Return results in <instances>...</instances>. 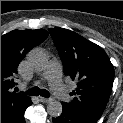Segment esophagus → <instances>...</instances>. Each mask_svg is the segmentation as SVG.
Wrapping results in <instances>:
<instances>
[{
  "label": "esophagus",
  "instance_id": "1",
  "mask_svg": "<svg viewBox=\"0 0 123 123\" xmlns=\"http://www.w3.org/2000/svg\"><path fill=\"white\" fill-rule=\"evenodd\" d=\"M39 100H40V102H42V103H49V102L51 101L50 98H44V97H40Z\"/></svg>",
  "mask_w": 123,
  "mask_h": 123
}]
</instances>
